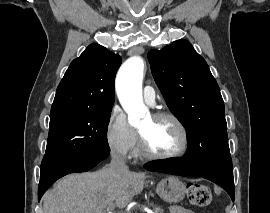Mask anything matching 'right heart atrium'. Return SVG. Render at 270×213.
I'll return each instance as SVG.
<instances>
[{"label":"right heart atrium","instance_id":"obj_1","mask_svg":"<svg viewBox=\"0 0 270 213\" xmlns=\"http://www.w3.org/2000/svg\"><path fill=\"white\" fill-rule=\"evenodd\" d=\"M106 142L112 155L119 159H129L134 155L137 133L129 124L124 111L115 105L110 113L106 130Z\"/></svg>","mask_w":270,"mask_h":213}]
</instances>
